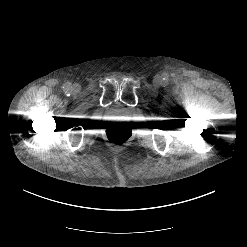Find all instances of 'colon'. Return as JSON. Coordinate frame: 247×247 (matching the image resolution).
Listing matches in <instances>:
<instances>
[{"label":"colon","instance_id":"colon-1","mask_svg":"<svg viewBox=\"0 0 247 247\" xmlns=\"http://www.w3.org/2000/svg\"><path fill=\"white\" fill-rule=\"evenodd\" d=\"M106 136L110 143L115 145H122L128 143L131 140L132 132L128 127H118L109 129Z\"/></svg>","mask_w":247,"mask_h":247}]
</instances>
